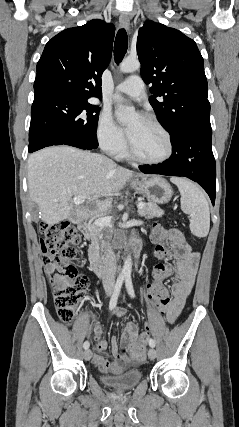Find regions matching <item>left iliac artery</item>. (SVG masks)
Wrapping results in <instances>:
<instances>
[{"mask_svg":"<svg viewBox=\"0 0 239 427\" xmlns=\"http://www.w3.org/2000/svg\"><path fill=\"white\" fill-rule=\"evenodd\" d=\"M126 289L129 293V295L134 298L135 297V293H134V289H133V284H132V279L130 276L126 277ZM149 346L150 347H155V341L153 339L149 340Z\"/></svg>","mask_w":239,"mask_h":427,"instance_id":"left-iliac-artery-1","label":"left iliac artery"}]
</instances>
